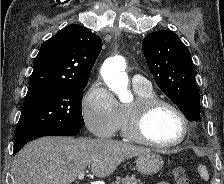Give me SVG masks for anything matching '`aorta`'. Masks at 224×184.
<instances>
[{
	"mask_svg": "<svg viewBox=\"0 0 224 184\" xmlns=\"http://www.w3.org/2000/svg\"><path fill=\"white\" fill-rule=\"evenodd\" d=\"M126 62L121 56L108 58L101 68V75L107 86L118 95L121 102L132 97L128 91V76L125 73Z\"/></svg>",
	"mask_w": 224,
	"mask_h": 184,
	"instance_id": "1",
	"label": "aorta"
}]
</instances>
